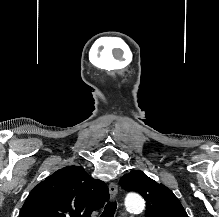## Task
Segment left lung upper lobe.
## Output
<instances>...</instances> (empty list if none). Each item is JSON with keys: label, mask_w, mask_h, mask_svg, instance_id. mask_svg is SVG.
Here are the masks:
<instances>
[{"label": "left lung upper lobe", "mask_w": 219, "mask_h": 217, "mask_svg": "<svg viewBox=\"0 0 219 217\" xmlns=\"http://www.w3.org/2000/svg\"><path fill=\"white\" fill-rule=\"evenodd\" d=\"M127 191H136L146 200L145 217H188L179 199L166 186L157 183L141 170H133L120 179Z\"/></svg>", "instance_id": "obj_1"}]
</instances>
